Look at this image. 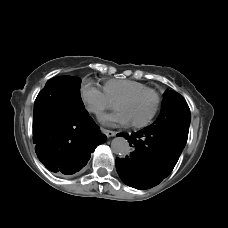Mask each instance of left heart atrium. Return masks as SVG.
Here are the masks:
<instances>
[{
  "label": "left heart atrium",
  "instance_id": "left-heart-atrium-1",
  "mask_svg": "<svg viewBox=\"0 0 228 228\" xmlns=\"http://www.w3.org/2000/svg\"><path fill=\"white\" fill-rule=\"evenodd\" d=\"M114 117L118 120L119 123H126L129 118L123 113V112H120L119 114H115Z\"/></svg>",
  "mask_w": 228,
  "mask_h": 228
}]
</instances>
